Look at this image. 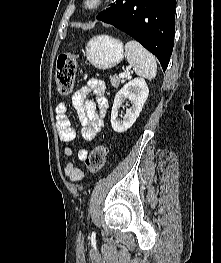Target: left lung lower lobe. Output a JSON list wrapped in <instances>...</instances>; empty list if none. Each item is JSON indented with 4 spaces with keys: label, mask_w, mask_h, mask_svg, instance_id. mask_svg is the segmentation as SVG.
<instances>
[{
    "label": "left lung lower lobe",
    "mask_w": 221,
    "mask_h": 263,
    "mask_svg": "<svg viewBox=\"0 0 221 263\" xmlns=\"http://www.w3.org/2000/svg\"><path fill=\"white\" fill-rule=\"evenodd\" d=\"M175 7L176 0H115L97 19L132 36L165 71L174 45Z\"/></svg>",
    "instance_id": "obj_1"
}]
</instances>
